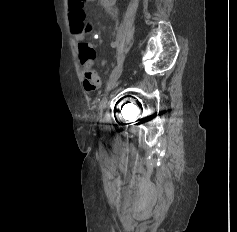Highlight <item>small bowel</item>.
I'll return each instance as SVG.
<instances>
[{"label":"small bowel","mask_w":237,"mask_h":232,"mask_svg":"<svg viewBox=\"0 0 237 232\" xmlns=\"http://www.w3.org/2000/svg\"><path fill=\"white\" fill-rule=\"evenodd\" d=\"M75 39L78 43L79 57L83 67L84 88L87 91H94L100 85V80L94 70L95 51L92 45L85 40V34H76Z\"/></svg>","instance_id":"1"}]
</instances>
